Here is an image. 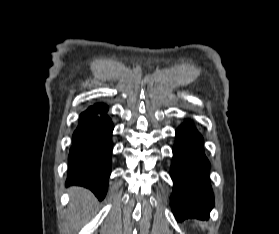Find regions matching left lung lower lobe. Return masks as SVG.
<instances>
[{"label":"left lung lower lobe","mask_w":279,"mask_h":234,"mask_svg":"<svg viewBox=\"0 0 279 234\" xmlns=\"http://www.w3.org/2000/svg\"><path fill=\"white\" fill-rule=\"evenodd\" d=\"M209 161L203 151V138L187 122L176 130L171 177L174 182L171 207L178 221L208 219L214 205L210 186Z\"/></svg>","instance_id":"left-lung-lower-lobe-1"}]
</instances>
